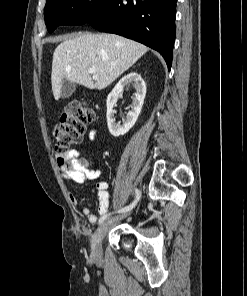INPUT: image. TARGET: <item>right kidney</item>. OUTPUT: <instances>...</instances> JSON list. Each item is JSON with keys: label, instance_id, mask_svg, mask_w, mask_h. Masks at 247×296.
Wrapping results in <instances>:
<instances>
[{"label": "right kidney", "instance_id": "obj_1", "mask_svg": "<svg viewBox=\"0 0 247 296\" xmlns=\"http://www.w3.org/2000/svg\"><path fill=\"white\" fill-rule=\"evenodd\" d=\"M130 83H134L136 92L132 100L131 110L127 113L121 125L120 122H116L114 118L115 111L113 107L116 105L119 94L123 91L124 87ZM145 95L146 84L141 75L137 72H131L120 79L107 97V124L111 135L119 137L126 134L134 126L141 112Z\"/></svg>", "mask_w": 247, "mask_h": 296}]
</instances>
